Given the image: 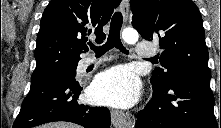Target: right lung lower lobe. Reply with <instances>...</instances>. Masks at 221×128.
Returning <instances> with one entry per match:
<instances>
[{
    "instance_id": "1",
    "label": "right lung lower lobe",
    "mask_w": 221,
    "mask_h": 128,
    "mask_svg": "<svg viewBox=\"0 0 221 128\" xmlns=\"http://www.w3.org/2000/svg\"><path fill=\"white\" fill-rule=\"evenodd\" d=\"M81 90L75 76L50 75L32 82L13 128H31L54 121H69L85 128H109V110L80 104L77 99Z\"/></svg>"
}]
</instances>
